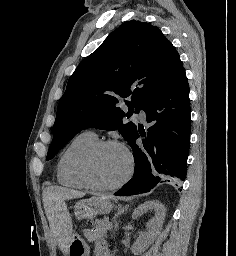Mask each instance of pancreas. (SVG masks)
Wrapping results in <instances>:
<instances>
[{
	"instance_id": "obj_1",
	"label": "pancreas",
	"mask_w": 236,
	"mask_h": 256,
	"mask_svg": "<svg viewBox=\"0 0 236 256\" xmlns=\"http://www.w3.org/2000/svg\"><path fill=\"white\" fill-rule=\"evenodd\" d=\"M110 222H108V218H104V220H97L96 223H93V226H96V232H87L84 230V236L87 238L88 242H99L98 238H107V230H112L110 226H108Z\"/></svg>"
}]
</instances>
